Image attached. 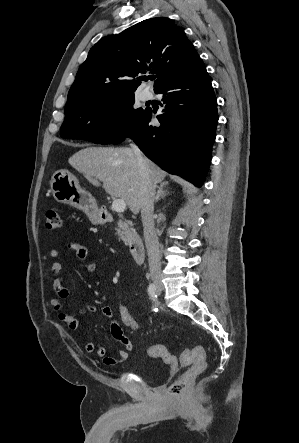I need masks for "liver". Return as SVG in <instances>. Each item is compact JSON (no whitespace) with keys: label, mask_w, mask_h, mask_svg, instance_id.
Returning a JSON list of instances; mask_svg holds the SVG:
<instances>
[{"label":"liver","mask_w":299,"mask_h":443,"mask_svg":"<svg viewBox=\"0 0 299 443\" xmlns=\"http://www.w3.org/2000/svg\"><path fill=\"white\" fill-rule=\"evenodd\" d=\"M144 159L155 184L162 182L166 173L149 159ZM68 162L87 178L103 182L106 193L124 200L131 212H139L140 175L132 149L87 147L73 154Z\"/></svg>","instance_id":"1"}]
</instances>
